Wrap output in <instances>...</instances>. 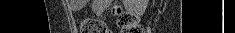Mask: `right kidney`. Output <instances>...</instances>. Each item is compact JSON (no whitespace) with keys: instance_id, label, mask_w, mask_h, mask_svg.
<instances>
[{"instance_id":"obj_1","label":"right kidney","mask_w":235,"mask_h":33,"mask_svg":"<svg viewBox=\"0 0 235 33\" xmlns=\"http://www.w3.org/2000/svg\"><path fill=\"white\" fill-rule=\"evenodd\" d=\"M147 0H127L126 6L131 13L141 15L147 8Z\"/></svg>"}]
</instances>
